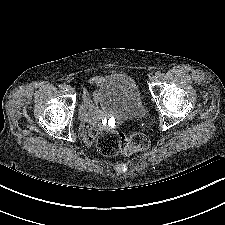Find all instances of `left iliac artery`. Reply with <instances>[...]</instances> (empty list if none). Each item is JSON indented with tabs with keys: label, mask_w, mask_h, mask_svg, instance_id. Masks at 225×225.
<instances>
[{
	"label": "left iliac artery",
	"mask_w": 225,
	"mask_h": 225,
	"mask_svg": "<svg viewBox=\"0 0 225 225\" xmlns=\"http://www.w3.org/2000/svg\"><path fill=\"white\" fill-rule=\"evenodd\" d=\"M163 76V73L161 72V71H157L156 73H155V77L156 78H161Z\"/></svg>",
	"instance_id": "obj_1"
}]
</instances>
